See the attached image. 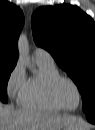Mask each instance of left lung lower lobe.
<instances>
[{
  "label": "left lung lower lobe",
  "mask_w": 95,
  "mask_h": 130,
  "mask_svg": "<svg viewBox=\"0 0 95 130\" xmlns=\"http://www.w3.org/2000/svg\"><path fill=\"white\" fill-rule=\"evenodd\" d=\"M87 117V120L91 123H95V114H90Z\"/></svg>",
  "instance_id": "left-lung-lower-lobe-1"
}]
</instances>
